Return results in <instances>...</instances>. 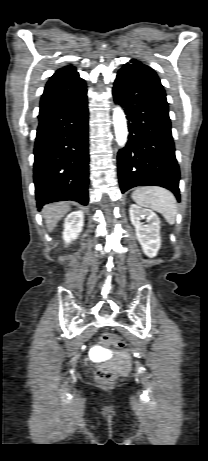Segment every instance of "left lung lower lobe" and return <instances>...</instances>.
<instances>
[{
    "mask_svg": "<svg viewBox=\"0 0 208 461\" xmlns=\"http://www.w3.org/2000/svg\"><path fill=\"white\" fill-rule=\"evenodd\" d=\"M113 97L124 108L130 132L117 156L121 192L156 185L172 191L179 201L180 171L163 86L119 71Z\"/></svg>",
    "mask_w": 208,
    "mask_h": 461,
    "instance_id": "left-lung-lower-lobe-1",
    "label": "left lung lower lobe"
}]
</instances>
